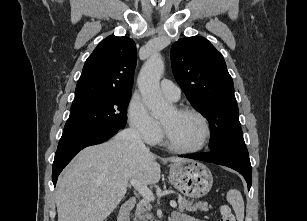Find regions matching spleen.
Masks as SVG:
<instances>
[{
    "mask_svg": "<svg viewBox=\"0 0 307 221\" xmlns=\"http://www.w3.org/2000/svg\"><path fill=\"white\" fill-rule=\"evenodd\" d=\"M227 201L231 204L237 221L244 220V201L241 193L236 189H230L227 193Z\"/></svg>",
    "mask_w": 307,
    "mask_h": 221,
    "instance_id": "3e777b00",
    "label": "spleen"
}]
</instances>
